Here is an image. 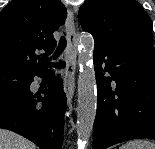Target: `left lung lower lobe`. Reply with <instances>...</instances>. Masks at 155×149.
Masks as SVG:
<instances>
[{"label": "left lung lower lobe", "instance_id": "1", "mask_svg": "<svg viewBox=\"0 0 155 149\" xmlns=\"http://www.w3.org/2000/svg\"><path fill=\"white\" fill-rule=\"evenodd\" d=\"M94 65L98 101L93 149L131 139H155L153 44L95 45ZM105 73L110 76L105 77ZM112 81L116 85L111 86Z\"/></svg>", "mask_w": 155, "mask_h": 149}]
</instances>
